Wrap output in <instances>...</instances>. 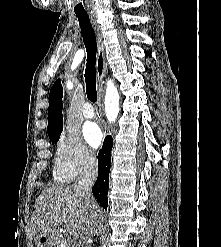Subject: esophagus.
<instances>
[{
    "mask_svg": "<svg viewBox=\"0 0 221 247\" xmlns=\"http://www.w3.org/2000/svg\"><path fill=\"white\" fill-rule=\"evenodd\" d=\"M91 23L96 32L97 43H98V53H97V61H96V76H97V89H98L97 112L98 115L100 114L101 117V95H102L103 77L106 70V62H105L104 46H103L100 27L94 17H91Z\"/></svg>",
    "mask_w": 221,
    "mask_h": 247,
    "instance_id": "obj_1",
    "label": "esophagus"
}]
</instances>
